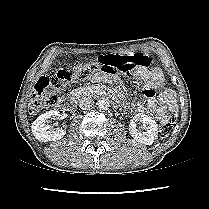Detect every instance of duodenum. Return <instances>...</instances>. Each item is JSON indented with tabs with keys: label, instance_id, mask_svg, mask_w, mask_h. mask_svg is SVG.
I'll return each mask as SVG.
<instances>
[{
	"label": "duodenum",
	"instance_id": "1",
	"mask_svg": "<svg viewBox=\"0 0 209 209\" xmlns=\"http://www.w3.org/2000/svg\"><path fill=\"white\" fill-rule=\"evenodd\" d=\"M76 102H77L76 94L67 95L62 99V105L70 109H73L75 107Z\"/></svg>",
	"mask_w": 209,
	"mask_h": 209
}]
</instances>
